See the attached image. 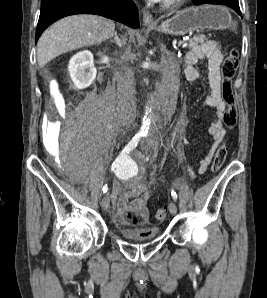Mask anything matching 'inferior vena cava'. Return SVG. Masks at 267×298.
<instances>
[{
  "mask_svg": "<svg viewBox=\"0 0 267 298\" xmlns=\"http://www.w3.org/2000/svg\"><path fill=\"white\" fill-rule=\"evenodd\" d=\"M133 55L128 59L132 60ZM125 75L122 83L118 86L117 92V118L122 124H130L135 119L136 98L134 72L129 67H124Z\"/></svg>",
  "mask_w": 267,
  "mask_h": 298,
  "instance_id": "obj_1",
  "label": "inferior vena cava"
}]
</instances>
